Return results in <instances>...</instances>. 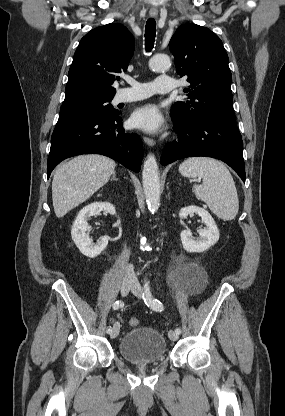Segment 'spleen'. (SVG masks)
I'll return each instance as SVG.
<instances>
[{"mask_svg":"<svg viewBox=\"0 0 285 416\" xmlns=\"http://www.w3.org/2000/svg\"><path fill=\"white\" fill-rule=\"evenodd\" d=\"M184 178H203L193 192L221 220H234L239 210L235 182L226 166L213 158H187L179 166Z\"/></svg>","mask_w":285,"mask_h":416,"instance_id":"spleen-1","label":"spleen"}]
</instances>
